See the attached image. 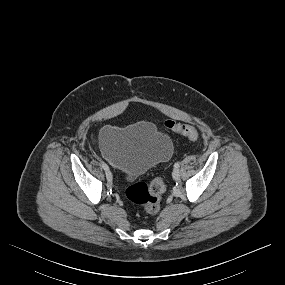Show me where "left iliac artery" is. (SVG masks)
I'll return each mask as SVG.
<instances>
[{
  "mask_svg": "<svg viewBox=\"0 0 285 285\" xmlns=\"http://www.w3.org/2000/svg\"><path fill=\"white\" fill-rule=\"evenodd\" d=\"M179 166H180V163H179V162H176V163L174 164V168H175V169L179 168Z\"/></svg>",
  "mask_w": 285,
  "mask_h": 285,
  "instance_id": "left-iliac-artery-1",
  "label": "left iliac artery"
}]
</instances>
